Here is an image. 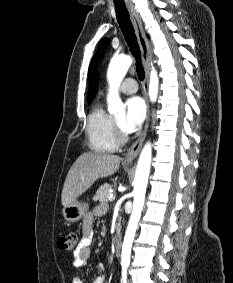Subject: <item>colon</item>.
<instances>
[{
    "label": "colon",
    "mask_w": 233,
    "mask_h": 283,
    "mask_svg": "<svg viewBox=\"0 0 233 283\" xmlns=\"http://www.w3.org/2000/svg\"><path fill=\"white\" fill-rule=\"evenodd\" d=\"M78 236L76 232H69L58 239V246L65 251H75L77 248Z\"/></svg>",
    "instance_id": "1"
}]
</instances>
